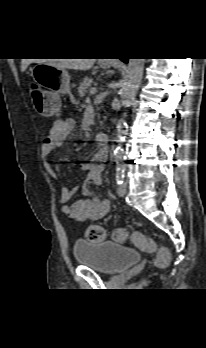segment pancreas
<instances>
[{"instance_id":"pancreas-1","label":"pancreas","mask_w":206,"mask_h":348,"mask_svg":"<svg viewBox=\"0 0 206 348\" xmlns=\"http://www.w3.org/2000/svg\"><path fill=\"white\" fill-rule=\"evenodd\" d=\"M92 84V78L90 77H86L83 79V81L80 83L79 87H78V92L80 94V96H85V94L88 92V88L91 86Z\"/></svg>"}]
</instances>
